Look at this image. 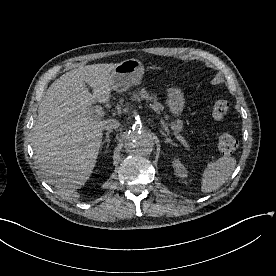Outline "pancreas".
I'll return each instance as SVG.
<instances>
[{
  "label": "pancreas",
  "mask_w": 276,
  "mask_h": 276,
  "mask_svg": "<svg viewBox=\"0 0 276 276\" xmlns=\"http://www.w3.org/2000/svg\"><path fill=\"white\" fill-rule=\"evenodd\" d=\"M131 100L132 101H137V102H141L142 100H145L146 102H151V108L156 111L159 112L160 110H163V106L160 102H158V98L156 95L153 94H149L144 88L141 89L140 91H135L132 93L131 96ZM172 128L179 132L182 130V123L180 121L177 122H173L171 124Z\"/></svg>",
  "instance_id": "pancreas-1"
}]
</instances>
